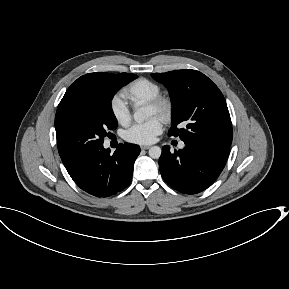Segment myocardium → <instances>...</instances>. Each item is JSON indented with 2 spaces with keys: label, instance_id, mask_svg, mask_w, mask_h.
Returning <instances> with one entry per match:
<instances>
[{
  "label": "myocardium",
  "instance_id": "obj_1",
  "mask_svg": "<svg viewBox=\"0 0 289 289\" xmlns=\"http://www.w3.org/2000/svg\"><path fill=\"white\" fill-rule=\"evenodd\" d=\"M155 111V115L164 120L169 119L172 113L173 103L167 96L159 95L147 103Z\"/></svg>",
  "mask_w": 289,
  "mask_h": 289
}]
</instances>
